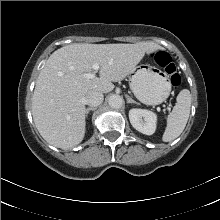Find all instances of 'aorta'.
Returning <instances> with one entry per match:
<instances>
[{
  "instance_id": "1",
  "label": "aorta",
  "mask_w": 220,
  "mask_h": 220,
  "mask_svg": "<svg viewBox=\"0 0 220 220\" xmlns=\"http://www.w3.org/2000/svg\"><path fill=\"white\" fill-rule=\"evenodd\" d=\"M108 104L113 109H119L123 105V99L119 95H111L108 99Z\"/></svg>"
}]
</instances>
